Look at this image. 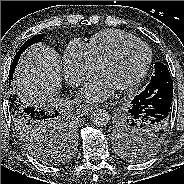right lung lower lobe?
<instances>
[{
  "label": "right lung lower lobe",
  "instance_id": "right-lung-lower-lobe-1",
  "mask_svg": "<svg viewBox=\"0 0 184 184\" xmlns=\"http://www.w3.org/2000/svg\"><path fill=\"white\" fill-rule=\"evenodd\" d=\"M55 109V108H54ZM43 111H46V110H51V109H42Z\"/></svg>",
  "mask_w": 184,
  "mask_h": 184
}]
</instances>
